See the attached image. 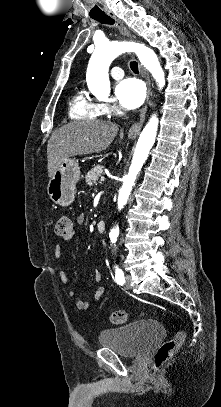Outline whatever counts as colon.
Returning a JSON list of instances; mask_svg holds the SVG:
<instances>
[{"mask_svg":"<svg viewBox=\"0 0 221 407\" xmlns=\"http://www.w3.org/2000/svg\"><path fill=\"white\" fill-rule=\"evenodd\" d=\"M72 229L71 220L69 217L63 215L58 218L55 226V231L58 236L66 237L70 234ZM109 320L117 325H123L127 321V313L123 310L112 311ZM185 338L183 331H178L172 338L165 341L158 349L156 355V367L161 369L164 367L169 359L176 353L178 348L182 345Z\"/></svg>","mask_w":221,"mask_h":407,"instance_id":"5ec220e1","label":"colon"}]
</instances>
